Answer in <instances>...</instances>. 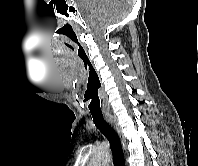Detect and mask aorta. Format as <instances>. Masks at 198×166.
I'll return each mask as SVG.
<instances>
[{"label": "aorta", "instance_id": "1", "mask_svg": "<svg viewBox=\"0 0 198 166\" xmlns=\"http://www.w3.org/2000/svg\"><path fill=\"white\" fill-rule=\"evenodd\" d=\"M110 156L107 153L96 154L89 166H109Z\"/></svg>", "mask_w": 198, "mask_h": 166}]
</instances>
